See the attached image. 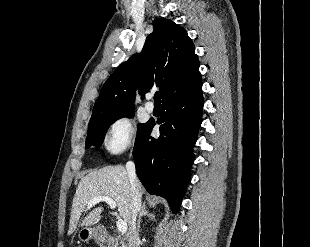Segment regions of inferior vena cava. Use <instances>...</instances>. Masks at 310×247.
Segmentation results:
<instances>
[{"label":"inferior vena cava","mask_w":310,"mask_h":247,"mask_svg":"<svg viewBox=\"0 0 310 247\" xmlns=\"http://www.w3.org/2000/svg\"><path fill=\"white\" fill-rule=\"evenodd\" d=\"M126 170L131 185V212L129 221L128 247H139V234L136 230V218L141 208L140 182L136 176L135 164L132 161L126 163Z\"/></svg>","instance_id":"602c4592"}]
</instances>
